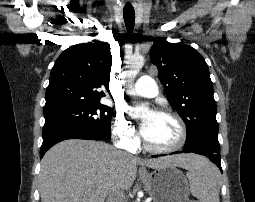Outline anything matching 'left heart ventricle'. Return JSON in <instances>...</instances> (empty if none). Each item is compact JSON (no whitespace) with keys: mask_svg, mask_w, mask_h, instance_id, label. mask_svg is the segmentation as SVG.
<instances>
[{"mask_svg":"<svg viewBox=\"0 0 255 202\" xmlns=\"http://www.w3.org/2000/svg\"><path fill=\"white\" fill-rule=\"evenodd\" d=\"M143 121L146 122L143 135L151 145L169 147L178 141L179 127L173 118L148 112L143 116Z\"/></svg>","mask_w":255,"mask_h":202,"instance_id":"obj_1","label":"left heart ventricle"}]
</instances>
